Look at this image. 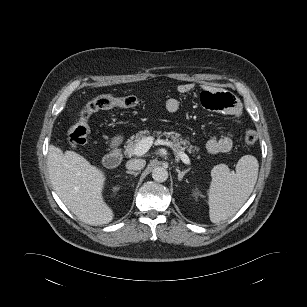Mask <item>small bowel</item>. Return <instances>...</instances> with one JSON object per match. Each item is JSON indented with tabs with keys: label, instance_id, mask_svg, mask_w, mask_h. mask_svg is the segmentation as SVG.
I'll use <instances>...</instances> for the list:
<instances>
[{
	"label": "small bowel",
	"instance_id": "c3829d8e",
	"mask_svg": "<svg viewBox=\"0 0 307 307\" xmlns=\"http://www.w3.org/2000/svg\"><path fill=\"white\" fill-rule=\"evenodd\" d=\"M191 83L180 84L177 92L185 95L194 90ZM201 104L210 110H223L228 114L234 115L236 121L240 123V108L236 98L228 92H218V89L211 85H204L200 96ZM180 107V101L176 97H171L165 102V109L170 113H175ZM234 145L233 133L228 132L222 137H211L207 141V149L211 154L227 153L232 150Z\"/></svg>",
	"mask_w": 307,
	"mask_h": 307
}]
</instances>
